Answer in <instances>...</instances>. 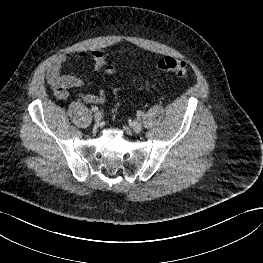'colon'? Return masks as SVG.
I'll use <instances>...</instances> for the list:
<instances>
[{
	"instance_id": "1",
	"label": "colon",
	"mask_w": 263,
	"mask_h": 263,
	"mask_svg": "<svg viewBox=\"0 0 263 263\" xmlns=\"http://www.w3.org/2000/svg\"><path fill=\"white\" fill-rule=\"evenodd\" d=\"M159 70L165 73H171L179 77H186L188 75V67L184 60L174 57H164L159 60L157 64ZM107 70L111 73L116 71L115 66L108 65Z\"/></svg>"
}]
</instances>
